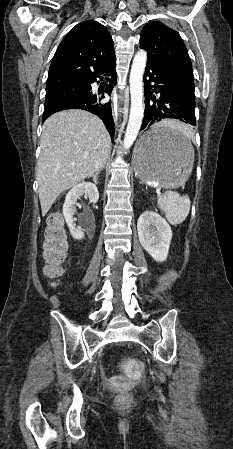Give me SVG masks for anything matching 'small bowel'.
<instances>
[{
	"mask_svg": "<svg viewBox=\"0 0 233 449\" xmlns=\"http://www.w3.org/2000/svg\"><path fill=\"white\" fill-rule=\"evenodd\" d=\"M142 370V365L141 363H127L125 365V370H124V375L125 376H137L139 372H141Z\"/></svg>",
	"mask_w": 233,
	"mask_h": 449,
	"instance_id": "obj_1",
	"label": "small bowel"
}]
</instances>
